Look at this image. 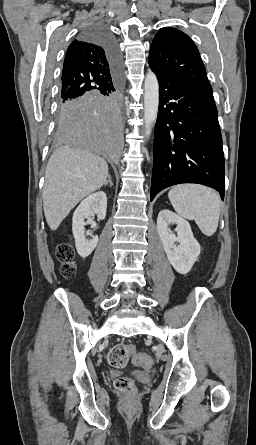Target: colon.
<instances>
[{
    "instance_id": "5ec220e1",
    "label": "colon",
    "mask_w": 256,
    "mask_h": 445,
    "mask_svg": "<svg viewBox=\"0 0 256 445\" xmlns=\"http://www.w3.org/2000/svg\"><path fill=\"white\" fill-rule=\"evenodd\" d=\"M74 252L69 244H60L57 247V256L63 262L62 273L65 278L70 279L74 276L75 266L72 262ZM134 355V346L132 344L119 343L112 347L107 355L108 363L116 368H123L127 365ZM147 355H136L135 362L143 364L149 362ZM115 388L125 394H133L136 390L135 382L129 377H119L115 381Z\"/></svg>"
}]
</instances>
